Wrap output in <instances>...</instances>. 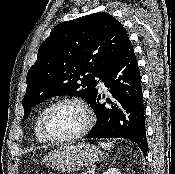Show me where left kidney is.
<instances>
[{
    "label": "left kidney",
    "instance_id": "5707ae66",
    "mask_svg": "<svg viewBox=\"0 0 175 174\" xmlns=\"http://www.w3.org/2000/svg\"><path fill=\"white\" fill-rule=\"evenodd\" d=\"M103 174H121V172L116 168H110L105 171Z\"/></svg>",
    "mask_w": 175,
    "mask_h": 174
}]
</instances>
